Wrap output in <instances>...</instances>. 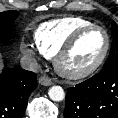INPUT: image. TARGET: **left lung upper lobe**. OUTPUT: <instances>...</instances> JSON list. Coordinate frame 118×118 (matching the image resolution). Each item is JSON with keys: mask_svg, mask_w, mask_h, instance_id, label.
I'll return each instance as SVG.
<instances>
[{"mask_svg": "<svg viewBox=\"0 0 118 118\" xmlns=\"http://www.w3.org/2000/svg\"><path fill=\"white\" fill-rule=\"evenodd\" d=\"M111 32L113 36L111 51L102 69H106L114 65H118V26L115 22H112Z\"/></svg>", "mask_w": 118, "mask_h": 118, "instance_id": "1", "label": "left lung upper lobe"}]
</instances>
